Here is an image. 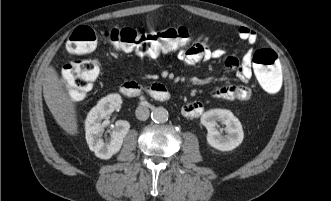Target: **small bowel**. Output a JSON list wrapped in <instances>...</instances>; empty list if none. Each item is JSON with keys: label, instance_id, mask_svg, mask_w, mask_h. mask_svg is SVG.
Returning <instances> with one entry per match:
<instances>
[{"label": "small bowel", "instance_id": "c3829d8e", "mask_svg": "<svg viewBox=\"0 0 331 201\" xmlns=\"http://www.w3.org/2000/svg\"><path fill=\"white\" fill-rule=\"evenodd\" d=\"M239 37L249 44L257 41V33L247 27H241L238 30ZM252 51H247L242 60L234 56H225L222 48H212L209 38L201 36L194 43L183 47L179 50L178 58L187 66H193L200 62L223 59L224 67L228 70L235 71L236 76L243 84H232L218 87L213 90L212 96L220 100H241L245 101L251 97V90L244 85L253 75ZM204 106L201 101H194L185 104L182 107V114L185 117L195 118L203 113Z\"/></svg>", "mask_w": 331, "mask_h": 201}]
</instances>
